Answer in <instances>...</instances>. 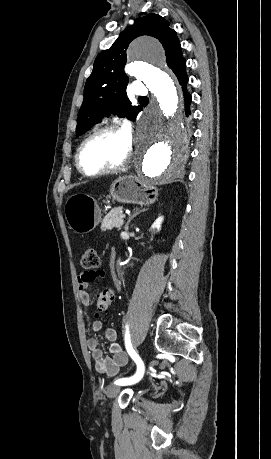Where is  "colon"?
<instances>
[{"mask_svg": "<svg viewBox=\"0 0 271 459\" xmlns=\"http://www.w3.org/2000/svg\"><path fill=\"white\" fill-rule=\"evenodd\" d=\"M80 265L85 271H92L99 268L100 258L94 248L88 247L84 250L81 258ZM114 295L111 290H104L96 295L95 306L97 313L107 311L113 301Z\"/></svg>", "mask_w": 271, "mask_h": 459, "instance_id": "5ec220e1", "label": "colon"}]
</instances>
